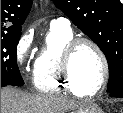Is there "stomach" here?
I'll use <instances>...</instances> for the list:
<instances>
[{"label":"stomach","instance_id":"1","mask_svg":"<svg viewBox=\"0 0 123 113\" xmlns=\"http://www.w3.org/2000/svg\"><path fill=\"white\" fill-rule=\"evenodd\" d=\"M74 113H103V111L99 107L92 105L83 109H79Z\"/></svg>","mask_w":123,"mask_h":113}]
</instances>
